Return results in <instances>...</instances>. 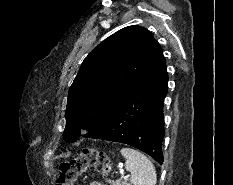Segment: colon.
Segmentation results:
<instances>
[{
  "label": "colon",
  "instance_id": "obj_1",
  "mask_svg": "<svg viewBox=\"0 0 233 185\" xmlns=\"http://www.w3.org/2000/svg\"><path fill=\"white\" fill-rule=\"evenodd\" d=\"M109 171L110 163L103 151L84 148L79 156L59 165L57 185H75L77 179L87 172L106 176Z\"/></svg>",
  "mask_w": 233,
  "mask_h": 185
}]
</instances>
